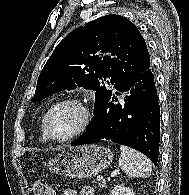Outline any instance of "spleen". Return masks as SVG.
<instances>
[{
	"mask_svg": "<svg viewBox=\"0 0 189 195\" xmlns=\"http://www.w3.org/2000/svg\"><path fill=\"white\" fill-rule=\"evenodd\" d=\"M121 155L119 159V167L125 172L128 177L146 178L151 175V163L149 159L127 146H120Z\"/></svg>",
	"mask_w": 189,
	"mask_h": 195,
	"instance_id": "3e777b00",
	"label": "spleen"
}]
</instances>
